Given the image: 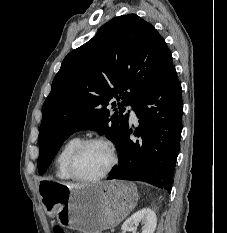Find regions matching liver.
<instances>
[{
    "mask_svg": "<svg viewBox=\"0 0 227 233\" xmlns=\"http://www.w3.org/2000/svg\"><path fill=\"white\" fill-rule=\"evenodd\" d=\"M70 188H79V187H82L81 185H77V184H67V183H62Z\"/></svg>",
    "mask_w": 227,
    "mask_h": 233,
    "instance_id": "liver-1",
    "label": "liver"
}]
</instances>
